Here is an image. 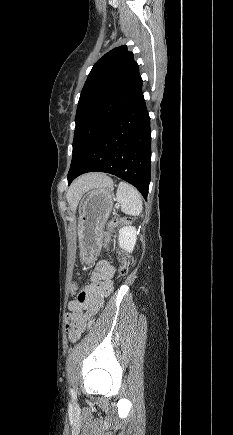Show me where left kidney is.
Segmentation results:
<instances>
[{"label":"left kidney","instance_id":"5707ae66","mask_svg":"<svg viewBox=\"0 0 233 435\" xmlns=\"http://www.w3.org/2000/svg\"><path fill=\"white\" fill-rule=\"evenodd\" d=\"M136 235L137 231L135 227L124 226L119 230V246L129 253L132 252L137 240Z\"/></svg>","mask_w":233,"mask_h":435}]
</instances>
